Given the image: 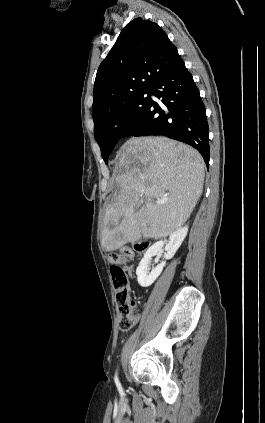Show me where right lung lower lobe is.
Returning a JSON list of instances; mask_svg holds the SVG:
<instances>
[{"instance_id":"obj_1","label":"right lung lower lobe","mask_w":265,"mask_h":423,"mask_svg":"<svg viewBox=\"0 0 265 423\" xmlns=\"http://www.w3.org/2000/svg\"><path fill=\"white\" fill-rule=\"evenodd\" d=\"M150 93L162 98L164 105L151 100L147 110L123 137L167 136L197 149L208 166L209 128L205 107L192 75L178 54L157 76Z\"/></svg>"}]
</instances>
